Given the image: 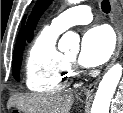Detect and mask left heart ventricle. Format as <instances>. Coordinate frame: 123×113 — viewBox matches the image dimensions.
<instances>
[{
  "label": "left heart ventricle",
  "mask_w": 123,
  "mask_h": 113,
  "mask_svg": "<svg viewBox=\"0 0 123 113\" xmlns=\"http://www.w3.org/2000/svg\"><path fill=\"white\" fill-rule=\"evenodd\" d=\"M69 57L74 58V55L70 54Z\"/></svg>",
  "instance_id": "left-heart-ventricle-1"
}]
</instances>
